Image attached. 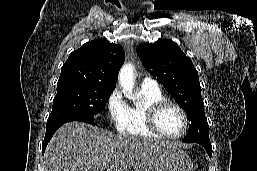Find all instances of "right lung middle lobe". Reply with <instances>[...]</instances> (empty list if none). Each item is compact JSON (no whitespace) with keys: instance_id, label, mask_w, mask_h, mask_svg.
Masks as SVG:
<instances>
[{"instance_id":"obj_1","label":"right lung middle lobe","mask_w":257,"mask_h":171,"mask_svg":"<svg viewBox=\"0 0 257 171\" xmlns=\"http://www.w3.org/2000/svg\"><path fill=\"white\" fill-rule=\"evenodd\" d=\"M113 91L112 88L82 84L58 87L48 120L65 116L94 119V115L104 109Z\"/></svg>"}]
</instances>
